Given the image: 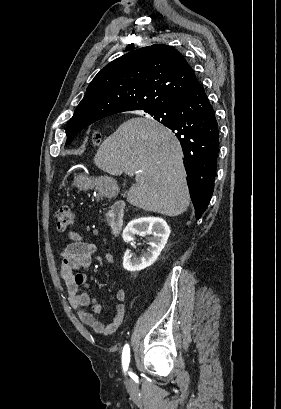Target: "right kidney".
<instances>
[{"label":"right kidney","instance_id":"ca27d5eb","mask_svg":"<svg viewBox=\"0 0 281 409\" xmlns=\"http://www.w3.org/2000/svg\"><path fill=\"white\" fill-rule=\"evenodd\" d=\"M170 233V227L160 217H138V219H132L122 233L125 243L134 245L135 235H140V237L153 235V237H151L150 243H148L150 247L147 249V253H143L141 257H136L129 249L125 251L123 257L124 269L135 273V271H143L146 267L153 265L162 249H164Z\"/></svg>","mask_w":281,"mask_h":409}]
</instances>
